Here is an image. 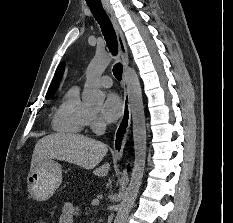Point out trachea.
<instances>
[{
	"label": "trachea",
	"instance_id": "trachea-1",
	"mask_svg": "<svg viewBox=\"0 0 233 223\" xmlns=\"http://www.w3.org/2000/svg\"><path fill=\"white\" fill-rule=\"evenodd\" d=\"M90 7L91 12L94 15V18L97 20L99 23L101 30L103 32V35L105 37L107 47L109 48L110 52L113 55L117 54L118 51V44H117V38H116V33L113 28V25L111 21L109 20L108 16L106 15L101 2L97 3H91L88 4ZM113 74L117 80H121L122 78V65L121 63H117L113 67Z\"/></svg>",
	"mask_w": 233,
	"mask_h": 223
}]
</instances>
